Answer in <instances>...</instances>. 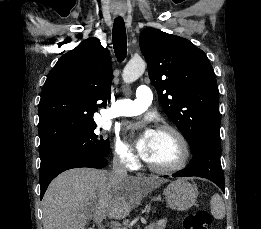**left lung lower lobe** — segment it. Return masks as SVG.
I'll list each match as a JSON object with an SVG mask.
<instances>
[{
  "instance_id": "1",
  "label": "left lung lower lobe",
  "mask_w": 261,
  "mask_h": 229,
  "mask_svg": "<svg viewBox=\"0 0 261 229\" xmlns=\"http://www.w3.org/2000/svg\"><path fill=\"white\" fill-rule=\"evenodd\" d=\"M192 153L193 159L190 165L172 176H198L207 178L224 191L225 182L220 162V143L203 142Z\"/></svg>"
}]
</instances>
